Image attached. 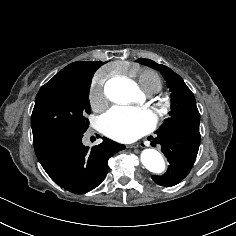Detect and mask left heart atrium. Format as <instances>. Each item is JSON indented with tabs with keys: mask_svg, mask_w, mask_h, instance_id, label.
I'll use <instances>...</instances> for the list:
<instances>
[{
	"mask_svg": "<svg viewBox=\"0 0 236 236\" xmlns=\"http://www.w3.org/2000/svg\"><path fill=\"white\" fill-rule=\"evenodd\" d=\"M155 122L150 109L116 106L103 115L101 129L114 140L130 142L146 134Z\"/></svg>",
	"mask_w": 236,
	"mask_h": 236,
	"instance_id": "left-heart-atrium-1",
	"label": "left heart atrium"
}]
</instances>
